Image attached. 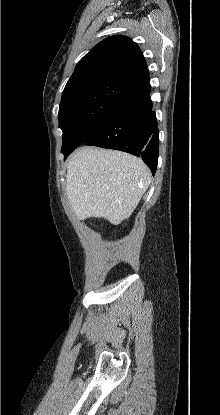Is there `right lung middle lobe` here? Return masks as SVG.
<instances>
[{
  "label": "right lung middle lobe",
  "instance_id": "1",
  "mask_svg": "<svg viewBox=\"0 0 220 415\" xmlns=\"http://www.w3.org/2000/svg\"><path fill=\"white\" fill-rule=\"evenodd\" d=\"M139 87L121 79L106 77L65 88L59 107L63 131L62 149L76 148L92 136L107 116Z\"/></svg>",
  "mask_w": 220,
  "mask_h": 415
}]
</instances>
